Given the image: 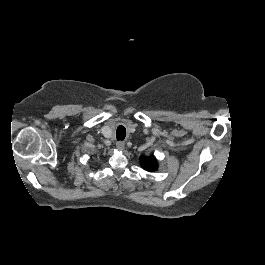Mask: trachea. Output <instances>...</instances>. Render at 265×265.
Segmentation results:
<instances>
[{"label": "trachea", "instance_id": "1", "mask_svg": "<svg viewBox=\"0 0 265 265\" xmlns=\"http://www.w3.org/2000/svg\"><path fill=\"white\" fill-rule=\"evenodd\" d=\"M126 136V129L124 126L119 125L116 130L117 140H123Z\"/></svg>", "mask_w": 265, "mask_h": 265}]
</instances>
